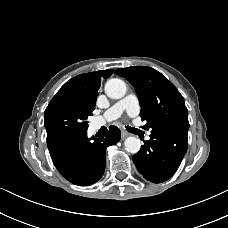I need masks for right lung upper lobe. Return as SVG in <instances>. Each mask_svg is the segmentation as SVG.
Returning a JSON list of instances; mask_svg holds the SVG:
<instances>
[{"label":"right lung upper lobe","instance_id":"obj_1","mask_svg":"<svg viewBox=\"0 0 228 228\" xmlns=\"http://www.w3.org/2000/svg\"><path fill=\"white\" fill-rule=\"evenodd\" d=\"M112 73L113 70L109 69L78 75L66 82L55 97L68 98L92 113L101 79L110 77Z\"/></svg>","mask_w":228,"mask_h":228}]
</instances>
